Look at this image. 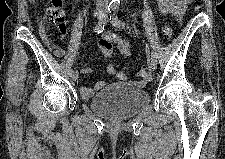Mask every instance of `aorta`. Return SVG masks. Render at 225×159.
<instances>
[{"mask_svg": "<svg viewBox=\"0 0 225 159\" xmlns=\"http://www.w3.org/2000/svg\"><path fill=\"white\" fill-rule=\"evenodd\" d=\"M120 4L119 0H111L110 6L111 7H117Z\"/></svg>", "mask_w": 225, "mask_h": 159, "instance_id": "obj_1", "label": "aorta"}]
</instances>
